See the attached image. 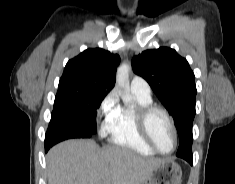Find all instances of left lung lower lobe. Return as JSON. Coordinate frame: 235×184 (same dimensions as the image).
Listing matches in <instances>:
<instances>
[{"label":"left lung lower lobe","mask_w":235,"mask_h":184,"mask_svg":"<svg viewBox=\"0 0 235 184\" xmlns=\"http://www.w3.org/2000/svg\"><path fill=\"white\" fill-rule=\"evenodd\" d=\"M187 162H189L191 165L193 164V158H187L185 159Z\"/></svg>","instance_id":"obj_1"}]
</instances>
